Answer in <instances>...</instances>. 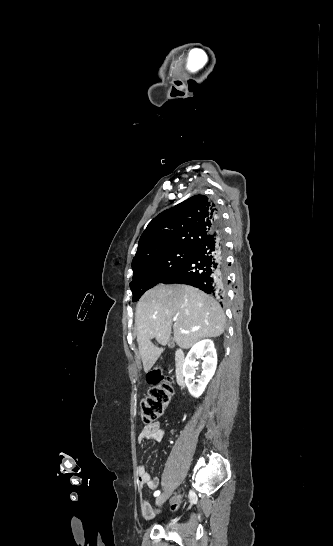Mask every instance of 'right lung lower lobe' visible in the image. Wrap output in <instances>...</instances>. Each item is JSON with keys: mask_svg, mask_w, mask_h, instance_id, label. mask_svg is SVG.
<instances>
[{"mask_svg": "<svg viewBox=\"0 0 333 546\" xmlns=\"http://www.w3.org/2000/svg\"><path fill=\"white\" fill-rule=\"evenodd\" d=\"M227 277L226 247L218 225L200 239L193 246L191 255L160 283L188 284L222 298L226 294Z\"/></svg>", "mask_w": 333, "mask_h": 546, "instance_id": "obj_1", "label": "right lung lower lobe"}]
</instances>
